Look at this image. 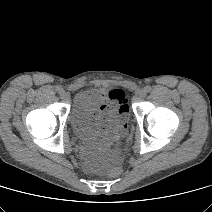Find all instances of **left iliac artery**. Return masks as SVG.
Segmentation results:
<instances>
[{
    "instance_id": "obj_1",
    "label": "left iliac artery",
    "mask_w": 212,
    "mask_h": 212,
    "mask_svg": "<svg viewBox=\"0 0 212 212\" xmlns=\"http://www.w3.org/2000/svg\"><path fill=\"white\" fill-rule=\"evenodd\" d=\"M145 90H146V92H150L151 91V86H146Z\"/></svg>"
}]
</instances>
